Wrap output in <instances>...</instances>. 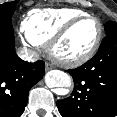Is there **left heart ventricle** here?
<instances>
[{
	"mask_svg": "<svg viewBox=\"0 0 117 117\" xmlns=\"http://www.w3.org/2000/svg\"><path fill=\"white\" fill-rule=\"evenodd\" d=\"M98 26L92 20L79 23L60 43L58 52L65 57H78L86 53L97 36Z\"/></svg>",
	"mask_w": 117,
	"mask_h": 117,
	"instance_id": "obj_1",
	"label": "left heart ventricle"
}]
</instances>
